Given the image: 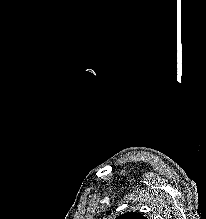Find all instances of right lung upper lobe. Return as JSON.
Here are the masks:
<instances>
[{
  "instance_id": "1",
  "label": "right lung upper lobe",
  "mask_w": 206,
  "mask_h": 219,
  "mask_svg": "<svg viewBox=\"0 0 206 219\" xmlns=\"http://www.w3.org/2000/svg\"><path fill=\"white\" fill-rule=\"evenodd\" d=\"M116 219H147L145 218L141 213L139 212H127L125 214H122Z\"/></svg>"
}]
</instances>
